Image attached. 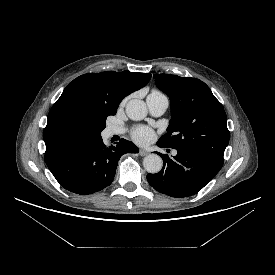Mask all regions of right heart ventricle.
<instances>
[{
  "instance_id": "e07e8e85",
  "label": "right heart ventricle",
  "mask_w": 275,
  "mask_h": 275,
  "mask_svg": "<svg viewBox=\"0 0 275 275\" xmlns=\"http://www.w3.org/2000/svg\"><path fill=\"white\" fill-rule=\"evenodd\" d=\"M151 94H162V93H160L159 91L154 90V91L151 92Z\"/></svg>"
}]
</instances>
